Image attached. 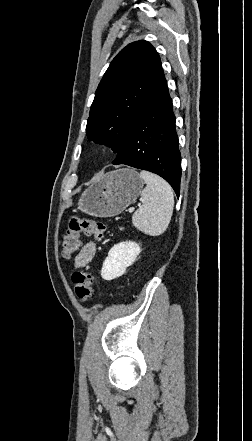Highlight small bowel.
Here are the masks:
<instances>
[{
    "mask_svg": "<svg viewBox=\"0 0 252 441\" xmlns=\"http://www.w3.org/2000/svg\"><path fill=\"white\" fill-rule=\"evenodd\" d=\"M97 246L94 241L85 243L74 259V268L79 269L88 265L96 254Z\"/></svg>",
    "mask_w": 252,
    "mask_h": 441,
    "instance_id": "small-bowel-1",
    "label": "small bowel"
}]
</instances>
